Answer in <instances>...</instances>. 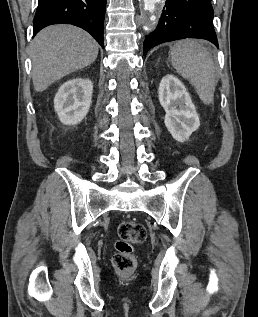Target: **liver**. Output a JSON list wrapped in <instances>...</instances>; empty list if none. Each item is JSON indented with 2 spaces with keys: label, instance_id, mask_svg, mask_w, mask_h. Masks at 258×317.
Here are the masks:
<instances>
[{
  "label": "liver",
  "instance_id": "obj_1",
  "mask_svg": "<svg viewBox=\"0 0 258 317\" xmlns=\"http://www.w3.org/2000/svg\"><path fill=\"white\" fill-rule=\"evenodd\" d=\"M98 50V42L82 28L71 24L43 28L31 42L35 90L42 92L69 72L88 66L97 58Z\"/></svg>",
  "mask_w": 258,
  "mask_h": 317
}]
</instances>
